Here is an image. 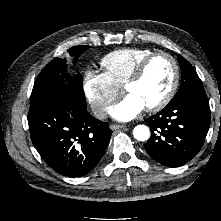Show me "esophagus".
<instances>
[{"mask_svg":"<svg viewBox=\"0 0 221 221\" xmlns=\"http://www.w3.org/2000/svg\"><path fill=\"white\" fill-rule=\"evenodd\" d=\"M125 127H126L125 125H119V124H111L110 125V128L112 130L122 129V128H125Z\"/></svg>","mask_w":221,"mask_h":221,"instance_id":"1","label":"esophagus"}]
</instances>
